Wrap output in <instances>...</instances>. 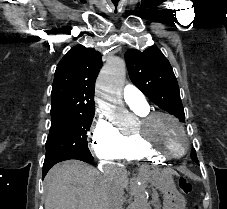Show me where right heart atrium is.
<instances>
[{
	"instance_id": "1",
	"label": "right heart atrium",
	"mask_w": 227,
	"mask_h": 209,
	"mask_svg": "<svg viewBox=\"0 0 227 209\" xmlns=\"http://www.w3.org/2000/svg\"><path fill=\"white\" fill-rule=\"evenodd\" d=\"M92 153L100 159L119 158L124 146V134L105 118H98L91 131Z\"/></svg>"
}]
</instances>
